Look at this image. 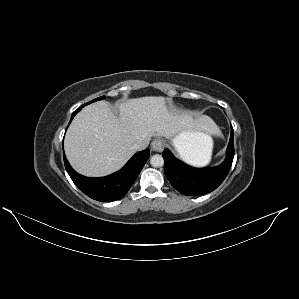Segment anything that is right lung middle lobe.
Masks as SVG:
<instances>
[{
	"mask_svg": "<svg viewBox=\"0 0 299 299\" xmlns=\"http://www.w3.org/2000/svg\"><path fill=\"white\" fill-rule=\"evenodd\" d=\"M104 98H105V96L98 97V98H96V99H94V100L88 102L87 104H90V103L95 102V101H98V100H102V99H104ZM87 104H85V105H87Z\"/></svg>",
	"mask_w": 299,
	"mask_h": 299,
	"instance_id": "1",
	"label": "right lung middle lobe"
}]
</instances>
